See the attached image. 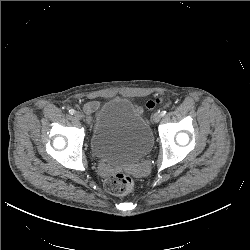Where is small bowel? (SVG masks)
<instances>
[{
    "label": "small bowel",
    "instance_id": "small-bowel-1",
    "mask_svg": "<svg viewBox=\"0 0 250 250\" xmlns=\"http://www.w3.org/2000/svg\"><path fill=\"white\" fill-rule=\"evenodd\" d=\"M99 107V103L96 101H90L88 102L85 107L84 110L88 115H91L92 113H94Z\"/></svg>",
    "mask_w": 250,
    "mask_h": 250
}]
</instances>
